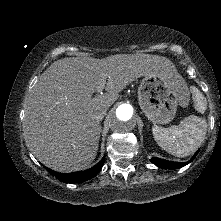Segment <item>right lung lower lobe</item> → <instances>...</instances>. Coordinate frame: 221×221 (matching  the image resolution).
Segmentation results:
<instances>
[{
    "label": "right lung lower lobe",
    "instance_id": "right-lung-lower-lobe-1",
    "mask_svg": "<svg viewBox=\"0 0 221 221\" xmlns=\"http://www.w3.org/2000/svg\"><path fill=\"white\" fill-rule=\"evenodd\" d=\"M105 157L94 167L81 171V172H74V173H58L55 172L47 167H44L50 174L55 176L58 180L65 183H80L83 181H86L88 179L93 178L96 176L99 171L101 170L103 164H104Z\"/></svg>",
    "mask_w": 221,
    "mask_h": 221
}]
</instances>
